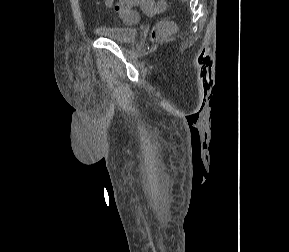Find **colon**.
Instances as JSON below:
<instances>
[{
	"instance_id": "colon-1",
	"label": "colon",
	"mask_w": 289,
	"mask_h": 252,
	"mask_svg": "<svg viewBox=\"0 0 289 252\" xmlns=\"http://www.w3.org/2000/svg\"><path fill=\"white\" fill-rule=\"evenodd\" d=\"M138 5L147 15H155L165 10L167 4L164 0H119L116 4V11L121 19L127 23H134L138 19L134 6ZM175 25L170 21H160L156 23L151 31L153 41H162L172 35Z\"/></svg>"
}]
</instances>
